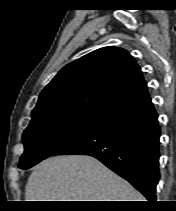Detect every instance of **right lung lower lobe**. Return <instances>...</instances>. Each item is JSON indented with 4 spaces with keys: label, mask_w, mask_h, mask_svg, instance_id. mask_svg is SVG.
Listing matches in <instances>:
<instances>
[{
    "label": "right lung lower lobe",
    "mask_w": 176,
    "mask_h": 211,
    "mask_svg": "<svg viewBox=\"0 0 176 211\" xmlns=\"http://www.w3.org/2000/svg\"><path fill=\"white\" fill-rule=\"evenodd\" d=\"M160 134L158 115L149 101L103 118L53 155L93 156L154 202L159 181Z\"/></svg>",
    "instance_id": "98d812e1"
}]
</instances>
